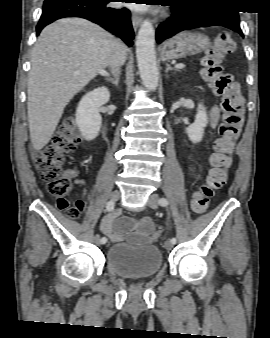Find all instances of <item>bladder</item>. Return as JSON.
Here are the masks:
<instances>
[{
  "instance_id": "bladder-1",
  "label": "bladder",
  "mask_w": 270,
  "mask_h": 338,
  "mask_svg": "<svg viewBox=\"0 0 270 338\" xmlns=\"http://www.w3.org/2000/svg\"><path fill=\"white\" fill-rule=\"evenodd\" d=\"M162 264V253L154 245L134 246L128 242H118L106 250V265L120 278L152 277L161 270Z\"/></svg>"
}]
</instances>
